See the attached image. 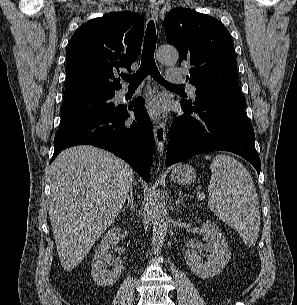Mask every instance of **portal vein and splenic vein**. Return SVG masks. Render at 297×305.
Here are the masks:
<instances>
[{
  "instance_id": "obj_1",
  "label": "portal vein and splenic vein",
  "mask_w": 297,
  "mask_h": 305,
  "mask_svg": "<svg viewBox=\"0 0 297 305\" xmlns=\"http://www.w3.org/2000/svg\"><path fill=\"white\" fill-rule=\"evenodd\" d=\"M197 198H198L199 200H203V199L205 198L204 193H203V192H198Z\"/></svg>"
}]
</instances>
